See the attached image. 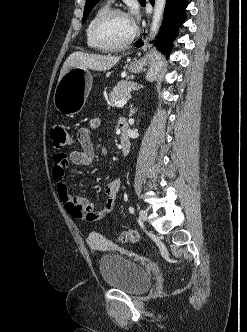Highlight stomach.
<instances>
[{
  "mask_svg": "<svg viewBox=\"0 0 247 332\" xmlns=\"http://www.w3.org/2000/svg\"><path fill=\"white\" fill-rule=\"evenodd\" d=\"M151 67L148 78L154 79L162 66V55L153 51L148 55ZM146 59L131 63L128 70L138 73L143 70ZM93 77L88 69L80 67L70 68L59 80L54 93V106L56 110L66 116L78 114L85 105L92 87Z\"/></svg>",
  "mask_w": 247,
  "mask_h": 332,
  "instance_id": "1",
  "label": "stomach"
}]
</instances>
